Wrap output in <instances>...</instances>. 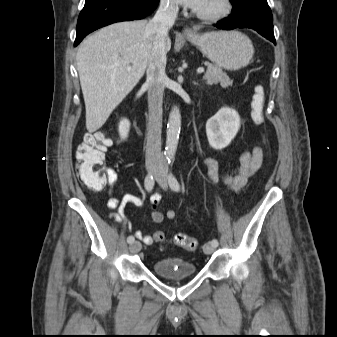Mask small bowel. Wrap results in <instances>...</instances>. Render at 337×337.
Returning <instances> with one entry per match:
<instances>
[{"instance_id":"obj_1","label":"small bowel","mask_w":337,"mask_h":337,"mask_svg":"<svg viewBox=\"0 0 337 337\" xmlns=\"http://www.w3.org/2000/svg\"><path fill=\"white\" fill-rule=\"evenodd\" d=\"M239 160L240 165L237 169L229 170L221 174L218 161L213 157H205L202 160V164L208 169V181L211 184H217L221 180L225 192H240L247 184L249 178L260 169L263 162L262 149L256 146L251 150H245L241 153ZM105 172L107 175V184L112 189L118 181V174L111 167L106 168ZM111 189L109 191L110 194L112 193ZM161 198L162 194L160 191H156L151 197L149 218L156 224L161 223L164 218L173 220L176 217L174 210H168L163 214L157 209ZM129 203L137 207L143 206V201L133 194H125L120 199L112 196L106 205L109 209L115 211L111 213L110 216L114 218L117 223L124 224L128 228H131L126 217V206ZM134 235L146 245H152L156 241L154 235L144 234L141 231H136Z\"/></svg>"}]
</instances>
